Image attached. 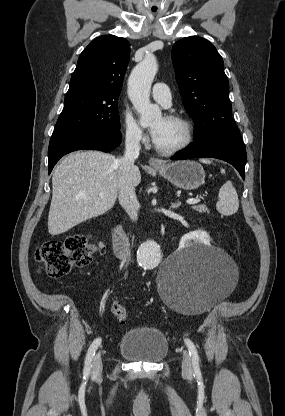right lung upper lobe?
<instances>
[{
	"label": "right lung upper lobe",
	"instance_id": "obj_1",
	"mask_svg": "<svg viewBox=\"0 0 285 416\" xmlns=\"http://www.w3.org/2000/svg\"><path fill=\"white\" fill-rule=\"evenodd\" d=\"M130 55V43L121 37L103 35L80 54L66 95L80 98L119 97Z\"/></svg>",
	"mask_w": 285,
	"mask_h": 416
}]
</instances>
